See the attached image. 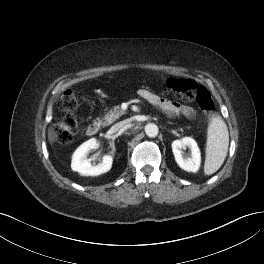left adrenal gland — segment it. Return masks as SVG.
I'll list each match as a JSON object with an SVG mask.
<instances>
[{"label": "left adrenal gland", "instance_id": "obj_1", "mask_svg": "<svg viewBox=\"0 0 264 264\" xmlns=\"http://www.w3.org/2000/svg\"><path fill=\"white\" fill-rule=\"evenodd\" d=\"M167 123H168V124H173L172 122H169V121H168Z\"/></svg>", "mask_w": 264, "mask_h": 264}]
</instances>
